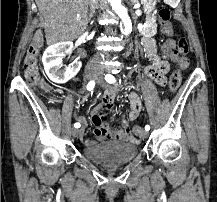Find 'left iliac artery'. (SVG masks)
<instances>
[{"instance_id": "obj_1", "label": "left iliac artery", "mask_w": 217, "mask_h": 202, "mask_svg": "<svg viewBox=\"0 0 217 202\" xmlns=\"http://www.w3.org/2000/svg\"><path fill=\"white\" fill-rule=\"evenodd\" d=\"M105 80H106L108 83H110V84L116 82L114 76H112V75H110V74H107V75L105 76ZM145 130H146V131H149V130H150V126H149V125H146V126H145Z\"/></svg>"}]
</instances>
